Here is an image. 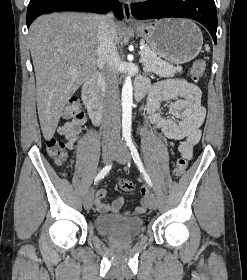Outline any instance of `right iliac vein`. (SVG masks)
<instances>
[{
    "mask_svg": "<svg viewBox=\"0 0 247 280\" xmlns=\"http://www.w3.org/2000/svg\"><path fill=\"white\" fill-rule=\"evenodd\" d=\"M114 155V146L113 145H107L103 148L102 152V159L105 164H108L111 162ZM93 200H94V189L91 188L84 197V208L86 210H90L93 206Z\"/></svg>",
    "mask_w": 247,
    "mask_h": 280,
    "instance_id": "right-iliac-vein-1",
    "label": "right iliac vein"
}]
</instances>
